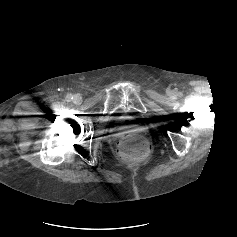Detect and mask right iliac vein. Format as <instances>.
<instances>
[{
  "label": "right iliac vein",
  "mask_w": 237,
  "mask_h": 237,
  "mask_svg": "<svg viewBox=\"0 0 237 237\" xmlns=\"http://www.w3.org/2000/svg\"><path fill=\"white\" fill-rule=\"evenodd\" d=\"M73 101L75 104H80L82 102V99L79 95H75Z\"/></svg>",
  "instance_id": "obj_1"
}]
</instances>
